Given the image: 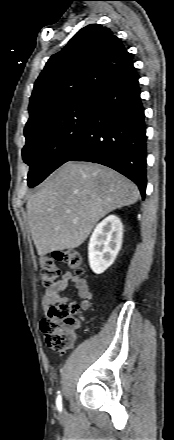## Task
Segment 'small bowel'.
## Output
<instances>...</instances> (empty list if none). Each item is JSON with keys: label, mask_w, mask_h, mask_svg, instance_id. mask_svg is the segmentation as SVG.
<instances>
[{"label": "small bowel", "mask_w": 174, "mask_h": 440, "mask_svg": "<svg viewBox=\"0 0 174 440\" xmlns=\"http://www.w3.org/2000/svg\"><path fill=\"white\" fill-rule=\"evenodd\" d=\"M69 283L73 284L76 295L82 298L81 309L87 310L90 307L92 295L87 280L73 275L70 271H65L59 280L44 289L41 299L44 312H47L51 307L68 304L75 300L73 296L62 295V292L67 289Z\"/></svg>", "instance_id": "c3829d8e"}]
</instances>
